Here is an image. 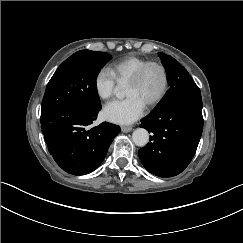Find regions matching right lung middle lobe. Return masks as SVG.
I'll return each instance as SVG.
<instances>
[{
  "label": "right lung middle lobe",
  "instance_id": "obj_1",
  "mask_svg": "<svg viewBox=\"0 0 243 243\" xmlns=\"http://www.w3.org/2000/svg\"><path fill=\"white\" fill-rule=\"evenodd\" d=\"M111 58L106 52L81 50L66 59L46 87L41 115L66 105L100 108L96 77Z\"/></svg>",
  "mask_w": 243,
  "mask_h": 243
}]
</instances>
